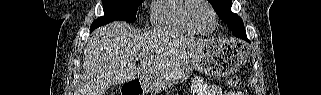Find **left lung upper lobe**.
Returning a JSON list of instances; mask_svg holds the SVG:
<instances>
[{
    "mask_svg": "<svg viewBox=\"0 0 321 95\" xmlns=\"http://www.w3.org/2000/svg\"><path fill=\"white\" fill-rule=\"evenodd\" d=\"M217 15L222 19L227 27L232 31V34L236 37L239 34L245 32L242 19L235 13L231 11L232 0H208Z\"/></svg>",
    "mask_w": 321,
    "mask_h": 95,
    "instance_id": "obj_1",
    "label": "left lung upper lobe"
}]
</instances>
